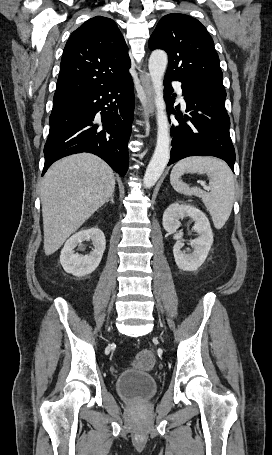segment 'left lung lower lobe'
Instances as JSON below:
<instances>
[{
	"mask_svg": "<svg viewBox=\"0 0 272 455\" xmlns=\"http://www.w3.org/2000/svg\"><path fill=\"white\" fill-rule=\"evenodd\" d=\"M171 81L182 83L186 114H175ZM164 95L168 113L175 114L171 127L172 150L168 165L188 156L205 155L223 159L234 171L235 150L230 138V119L225 109L223 82L186 76L165 75ZM180 105L176 106L179 111Z\"/></svg>",
	"mask_w": 272,
	"mask_h": 455,
	"instance_id": "1",
	"label": "left lung lower lobe"
}]
</instances>
